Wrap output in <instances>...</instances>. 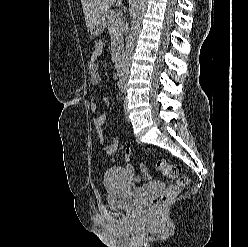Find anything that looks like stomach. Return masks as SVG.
<instances>
[{
  "label": "stomach",
  "instance_id": "obj_1",
  "mask_svg": "<svg viewBox=\"0 0 248 247\" xmlns=\"http://www.w3.org/2000/svg\"><path fill=\"white\" fill-rule=\"evenodd\" d=\"M107 13V12H106ZM105 14L101 15L96 21L95 23L90 27V33L93 36H98L100 35L105 28L106 25V17Z\"/></svg>",
  "mask_w": 248,
  "mask_h": 247
}]
</instances>
